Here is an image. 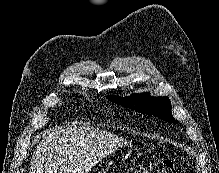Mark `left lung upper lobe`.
Segmentation results:
<instances>
[{"label": "left lung upper lobe", "mask_w": 219, "mask_h": 173, "mask_svg": "<svg viewBox=\"0 0 219 173\" xmlns=\"http://www.w3.org/2000/svg\"><path fill=\"white\" fill-rule=\"evenodd\" d=\"M118 105L134 109L137 112L154 115L169 123H178L171 114V102L168 97H151L148 93L130 97L106 96Z\"/></svg>", "instance_id": "left-lung-upper-lobe-1"}]
</instances>
